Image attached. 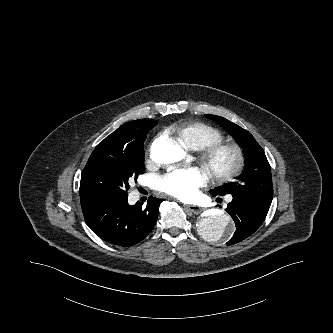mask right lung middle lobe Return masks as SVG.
Instances as JSON below:
<instances>
[{
  "label": "right lung middle lobe",
  "mask_w": 333,
  "mask_h": 333,
  "mask_svg": "<svg viewBox=\"0 0 333 333\" xmlns=\"http://www.w3.org/2000/svg\"><path fill=\"white\" fill-rule=\"evenodd\" d=\"M143 123L142 142L132 152H98L91 155L82 171L80 200L97 202L109 198L127 197L128 181L144 173L143 143L147 133L158 123L139 119Z\"/></svg>",
  "instance_id": "obj_1"
}]
</instances>
